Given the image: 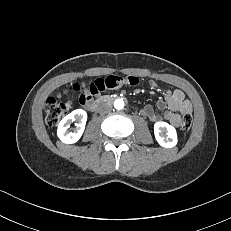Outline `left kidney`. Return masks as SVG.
I'll list each match as a JSON object with an SVG mask.
<instances>
[{
	"label": "left kidney",
	"instance_id": "left-kidney-1",
	"mask_svg": "<svg viewBox=\"0 0 231 231\" xmlns=\"http://www.w3.org/2000/svg\"><path fill=\"white\" fill-rule=\"evenodd\" d=\"M154 134L157 142L165 148H172L177 144L176 129L166 122L154 124Z\"/></svg>",
	"mask_w": 231,
	"mask_h": 231
}]
</instances>
